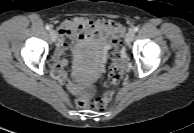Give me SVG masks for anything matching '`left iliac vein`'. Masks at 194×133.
Listing matches in <instances>:
<instances>
[{"label": "left iliac vein", "mask_w": 194, "mask_h": 133, "mask_svg": "<svg viewBox=\"0 0 194 133\" xmlns=\"http://www.w3.org/2000/svg\"><path fill=\"white\" fill-rule=\"evenodd\" d=\"M134 36H135L134 30H130V31L127 33V35H126V37H125V42H126L127 45H130V44H131V42H132L133 39H134Z\"/></svg>", "instance_id": "4c4485c4"}]
</instances>
